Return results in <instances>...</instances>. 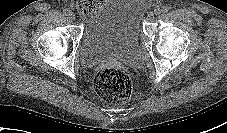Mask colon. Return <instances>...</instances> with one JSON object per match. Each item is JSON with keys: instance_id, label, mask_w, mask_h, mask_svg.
Returning a JSON list of instances; mask_svg holds the SVG:
<instances>
[{"instance_id": "1", "label": "colon", "mask_w": 227, "mask_h": 133, "mask_svg": "<svg viewBox=\"0 0 227 133\" xmlns=\"http://www.w3.org/2000/svg\"><path fill=\"white\" fill-rule=\"evenodd\" d=\"M102 0H79L78 10L83 15L94 13ZM97 94L104 100L113 103H124L129 100L133 90L130 76L119 68L100 69L94 81Z\"/></svg>"}]
</instances>
